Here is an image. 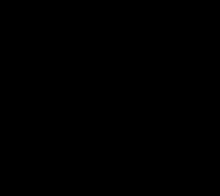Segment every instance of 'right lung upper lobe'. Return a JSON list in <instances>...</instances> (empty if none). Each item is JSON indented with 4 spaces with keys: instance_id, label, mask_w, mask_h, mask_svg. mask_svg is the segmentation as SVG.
<instances>
[{
    "instance_id": "obj_1",
    "label": "right lung upper lobe",
    "mask_w": 220,
    "mask_h": 196,
    "mask_svg": "<svg viewBox=\"0 0 220 196\" xmlns=\"http://www.w3.org/2000/svg\"><path fill=\"white\" fill-rule=\"evenodd\" d=\"M63 103L65 105L66 108H69V107H72V104H73V98L71 97V94H69L68 92H65L63 94Z\"/></svg>"
}]
</instances>
